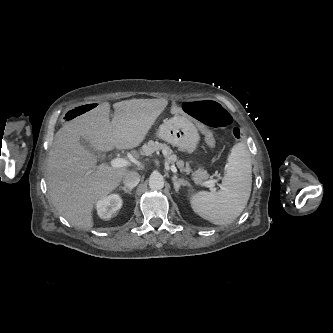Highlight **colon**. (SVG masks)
<instances>
[{
  "label": "colon",
  "mask_w": 333,
  "mask_h": 333,
  "mask_svg": "<svg viewBox=\"0 0 333 333\" xmlns=\"http://www.w3.org/2000/svg\"><path fill=\"white\" fill-rule=\"evenodd\" d=\"M97 107L98 104L96 102H89L81 107L70 110L65 118L67 121H71L79 114L91 109H96ZM183 109L207 127L227 128L231 126L233 122L231 115L220 104L211 100L185 103ZM244 137L245 134L241 128H233V139L241 141Z\"/></svg>",
  "instance_id": "5ec220e1"
}]
</instances>
